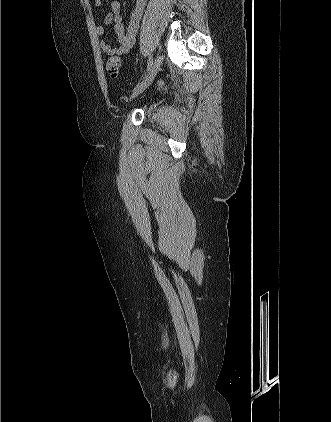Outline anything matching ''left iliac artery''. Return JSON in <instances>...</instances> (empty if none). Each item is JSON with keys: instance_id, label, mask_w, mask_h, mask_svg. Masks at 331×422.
I'll list each match as a JSON object with an SVG mask.
<instances>
[{"instance_id": "obj_1", "label": "left iliac artery", "mask_w": 331, "mask_h": 422, "mask_svg": "<svg viewBox=\"0 0 331 422\" xmlns=\"http://www.w3.org/2000/svg\"><path fill=\"white\" fill-rule=\"evenodd\" d=\"M152 63H153V58L151 56H149L148 64H147V70L150 69V67L152 66Z\"/></svg>"}]
</instances>
